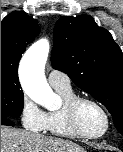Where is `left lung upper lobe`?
I'll return each mask as SVG.
<instances>
[{
    "mask_svg": "<svg viewBox=\"0 0 123 152\" xmlns=\"http://www.w3.org/2000/svg\"><path fill=\"white\" fill-rule=\"evenodd\" d=\"M54 69L105 105L123 134V54L91 16L61 17L54 28Z\"/></svg>",
    "mask_w": 123,
    "mask_h": 152,
    "instance_id": "1",
    "label": "left lung upper lobe"
}]
</instances>
